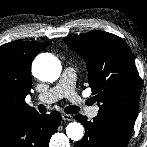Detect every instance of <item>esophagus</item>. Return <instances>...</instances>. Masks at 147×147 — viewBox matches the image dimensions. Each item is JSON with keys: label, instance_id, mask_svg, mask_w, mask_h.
<instances>
[{"label": "esophagus", "instance_id": "34e87169", "mask_svg": "<svg viewBox=\"0 0 147 147\" xmlns=\"http://www.w3.org/2000/svg\"><path fill=\"white\" fill-rule=\"evenodd\" d=\"M62 119L66 120V121H72L73 120V116L70 114H62Z\"/></svg>", "mask_w": 147, "mask_h": 147}]
</instances>
